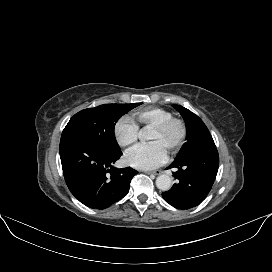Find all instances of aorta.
<instances>
[{
  "label": "aorta",
  "instance_id": "obj_1",
  "mask_svg": "<svg viewBox=\"0 0 272 272\" xmlns=\"http://www.w3.org/2000/svg\"><path fill=\"white\" fill-rule=\"evenodd\" d=\"M139 138L141 140H145L146 139L145 133L140 134ZM156 186H157L158 189H160L162 191H167L172 186V178L169 175L162 174V175L157 177Z\"/></svg>",
  "mask_w": 272,
  "mask_h": 272
}]
</instances>
